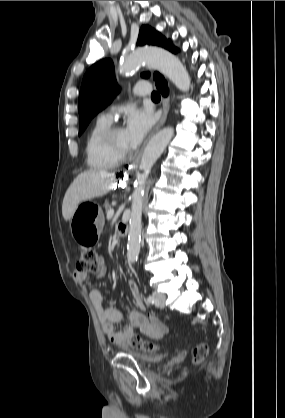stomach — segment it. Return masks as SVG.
<instances>
[{"label": "stomach", "instance_id": "stomach-1", "mask_svg": "<svg viewBox=\"0 0 285 418\" xmlns=\"http://www.w3.org/2000/svg\"><path fill=\"white\" fill-rule=\"evenodd\" d=\"M84 204L78 205L70 219V230L73 238L80 245L95 242L102 231L103 214L100 208L91 214L83 209Z\"/></svg>", "mask_w": 285, "mask_h": 418}]
</instances>
